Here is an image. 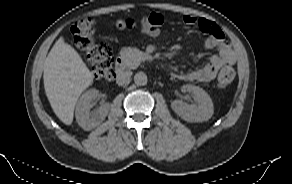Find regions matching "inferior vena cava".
Masks as SVG:
<instances>
[{"label": "inferior vena cava", "instance_id": "602c4592", "mask_svg": "<svg viewBox=\"0 0 292 184\" xmlns=\"http://www.w3.org/2000/svg\"><path fill=\"white\" fill-rule=\"evenodd\" d=\"M131 75H132L131 71H127V70L117 71L116 83L118 85H123V84L127 83L130 80Z\"/></svg>", "mask_w": 292, "mask_h": 184}]
</instances>
